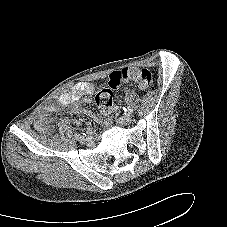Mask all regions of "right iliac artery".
<instances>
[{"mask_svg":"<svg viewBox=\"0 0 227 227\" xmlns=\"http://www.w3.org/2000/svg\"><path fill=\"white\" fill-rule=\"evenodd\" d=\"M81 135L80 134H75L74 137L78 139Z\"/></svg>","mask_w":227,"mask_h":227,"instance_id":"right-iliac-artery-1","label":"right iliac artery"}]
</instances>
